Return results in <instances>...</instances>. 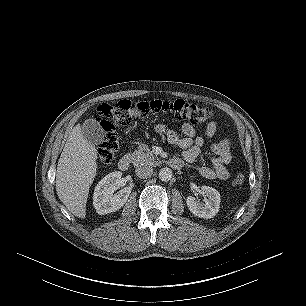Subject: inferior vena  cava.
Returning <instances> with one entry per match:
<instances>
[{
	"mask_svg": "<svg viewBox=\"0 0 306 306\" xmlns=\"http://www.w3.org/2000/svg\"><path fill=\"white\" fill-rule=\"evenodd\" d=\"M135 173L139 178L146 179V178H149V177L152 176L153 168L151 166H147V165L140 166V167L136 168Z\"/></svg>",
	"mask_w": 306,
	"mask_h": 306,
	"instance_id": "1",
	"label": "inferior vena cava"
}]
</instances>
